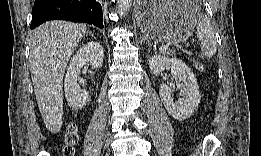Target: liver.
<instances>
[{
    "instance_id": "6515ba94",
    "label": "liver",
    "mask_w": 261,
    "mask_h": 156,
    "mask_svg": "<svg viewBox=\"0 0 261 156\" xmlns=\"http://www.w3.org/2000/svg\"><path fill=\"white\" fill-rule=\"evenodd\" d=\"M85 24L50 21L35 29L30 43L34 93L46 128L58 133L63 116V75L71 55L86 35Z\"/></svg>"
}]
</instances>
